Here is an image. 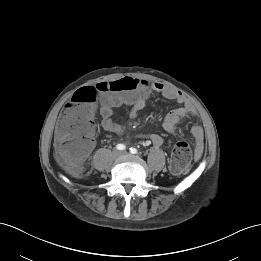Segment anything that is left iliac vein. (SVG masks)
<instances>
[{"label": "left iliac vein", "mask_w": 261, "mask_h": 261, "mask_svg": "<svg viewBox=\"0 0 261 261\" xmlns=\"http://www.w3.org/2000/svg\"><path fill=\"white\" fill-rule=\"evenodd\" d=\"M121 154H122V155H126V154H127V152H125V151H124V152H122Z\"/></svg>", "instance_id": "4c4485c4"}]
</instances>
